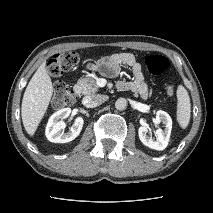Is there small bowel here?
<instances>
[{
    "mask_svg": "<svg viewBox=\"0 0 213 213\" xmlns=\"http://www.w3.org/2000/svg\"><path fill=\"white\" fill-rule=\"evenodd\" d=\"M122 65H127L133 72V80L119 81L117 87L122 91H132L145 98L148 95V85L145 81L144 74L140 63L135 59L134 55L130 53H117L107 58L100 60L98 63L88 64V68L98 70L108 77L116 76Z\"/></svg>",
    "mask_w": 213,
    "mask_h": 213,
    "instance_id": "small-bowel-1",
    "label": "small bowel"
}]
</instances>
